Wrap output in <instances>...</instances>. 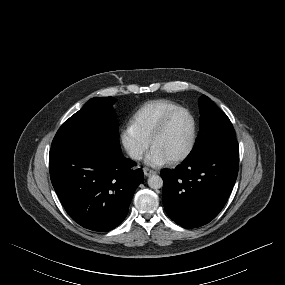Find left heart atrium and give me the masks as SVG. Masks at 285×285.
<instances>
[{
	"mask_svg": "<svg viewBox=\"0 0 285 285\" xmlns=\"http://www.w3.org/2000/svg\"><path fill=\"white\" fill-rule=\"evenodd\" d=\"M145 162L151 166H161L168 162V159L157 149L153 148L147 154Z\"/></svg>",
	"mask_w": 285,
	"mask_h": 285,
	"instance_id": "1",
	"label": "left heart atrium"
}]
</instances>
